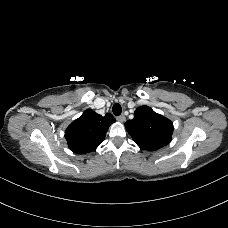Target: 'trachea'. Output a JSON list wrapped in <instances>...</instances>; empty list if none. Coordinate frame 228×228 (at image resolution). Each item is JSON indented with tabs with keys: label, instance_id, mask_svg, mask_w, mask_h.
<instances>
[{
	"label": "trachea",
	"instance_id": "3493384b",
	"mask_svg": "<svg viewBox=\"0 0 228 228\" xmlns=\"http://www.w3.org/2000/svg\"><path fill=\"white\" fill-rule=\"evenodd\" d=\"M112 110H113L114 115L119 116L122 112L121 105L119 103H115L113 105Z\"/></svg>",
	"mask_w": 228,
	"mask_h": 228
}]
</instances>
